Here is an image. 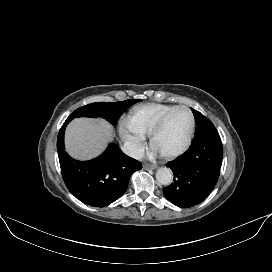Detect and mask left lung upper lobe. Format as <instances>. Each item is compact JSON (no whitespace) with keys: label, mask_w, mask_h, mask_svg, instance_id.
I'll list each match as a JSON object with an SVG mask.
<instances>
[{"label":"left lung upper lobe","mask_w":272,"mask_h":272,"mask_svg":"<svg viewBox=\"0 0 272 272\" xmlns=\"http://www.w3.org/2000/svg\"><path fill=\"white\" fill-rule=\"evenodd\" d=\"M194 114V118L196 120V129H195V135L194 139L192 141L201 139L207 135H209L212 132L217 131L215 126L212 124V122L203 116L200 112L194 110L191 108Z\"/></svg>","instance_id":"left-lung-upper-lobe-1"}]
</instances>
